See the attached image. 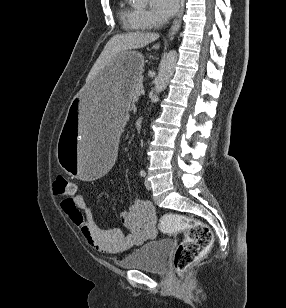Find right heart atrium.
<instances>
[{
  "mask_svg": "<svg viewBox=\"0 0 286 308\" xmlns=\"http://www.w3.org/2000/svg\"><path fill=\"white\" fill-rule=\"evenodd\" d=\"M142 22L148 28L154 27L161 23V20L150 11H141Z\"/></svg>",
  "mask_w": 286,
  "mask_h": 308,
  "instance_id": "right-heart-atrium-1",
  "label": "right heart atrium"
}]
</instances>
